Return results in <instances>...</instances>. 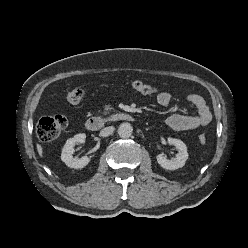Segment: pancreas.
<instances>
[{
    "label": "pancreas",
    "instance_id": "pancreas-1",
    "mask_svg": "<svg viewBox=\"0 0 248 248\" xmlns=\"http://www.w3.org/2000/svg\"><path fill=\"white\" fill-rule=\"evenodd\" d=\"M112 109H113L112 107L107 106V107L105 108L104 115L109 114V113L111 112Z\"/></svg>",
    "mask_w": 248,
    "mask_h": 248
}]
</instances>
